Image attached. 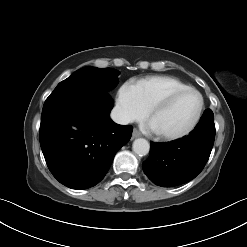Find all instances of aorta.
I'll list each match as a JSON object with an SVG mask.
<instances>
[{
	"mask_svg": "<svg viewBox=\"0 0 247 247\" xmlns=\"http://www.w3.org/2000/svg\"><path fill=\"white\" fill-rule=\"evenodd\" d=\"M133 151L139 156H145L149 153V142L144 138H138L133 142Z\"/></svg>",
	"mask_w": 247,
	"mask_h": 247,
	"instance_id": "obj_1",
	"label": "aorta"
}]
</instances>
